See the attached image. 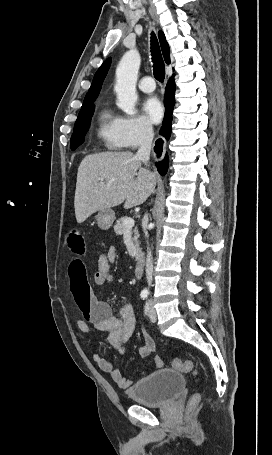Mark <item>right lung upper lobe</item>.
<instances>
[{"mask_svg":"<svg viewBox=\"0 0 272 455\" xmlns=\"http://www.w3.org/2000/svg\"><path fill=\"white\" fill-rule=\"evenodd\" d=\"M159 40L163 52V56L165 59V62L167 64H170V51H169V45L166 41L165 35L162 31H159ZM111 63V58L106 59L103 64L100 66V68L97 70L93 82L91 84V87L86 94V97L84 99L83 104L89 103V102H94L97 96L99 95V92L102 87V83L104 78L107 75V72L109 70V66Z\"/></svg>","mask_w":272,"mask_h":455,"instance_id":"cb5924a9","label":"right lung upper lobe"}]
</instances>
